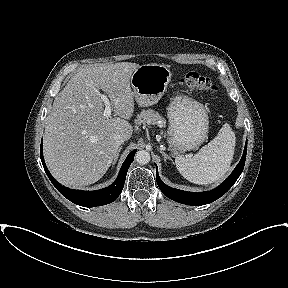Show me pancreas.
Returning a JSON list of instances; mask_svg holds the SVG:
<instances>
[{
    "instance_id": "obj_1",
    "label": "pancreas",
    "mask_w": 288,
    "mask_h": 288,
    "mask_svg": "<svg viewBox=\"0 0 288 288\" xmlns=\"http://www.w3.org/2000/svg\"><path fill=\"white\" fill-rule=\"evenodd\" d=\"M165 123V119L158 112H155L152 109L141 111L140 114L137 115V119H135V124L137 126H140L141 124H152L164 127Z\"/></svg>"
}]
</instances>
